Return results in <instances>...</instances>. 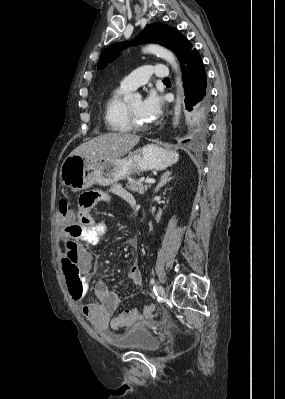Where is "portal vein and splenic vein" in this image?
I'll return each instance as SVG.
<instances>
[{"mask_svg":"<svg viewBox=\"0 0 285 399\" xmlns=\"http://www.w3.org/2000/svg\"><path fill=\"white\" fill-rule=\"evenodd\" d=\"M145 183L147 184H154L155 183V179L149 178L145 180Z\"/></svg>","mask_w":285,"mask_h":399,"instance_id":"1","label":"portal vein and splenic vein"}]
</instances>
